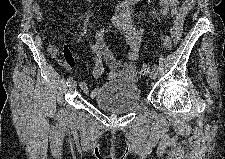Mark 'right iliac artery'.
Wrapping results in <instances>:
<instances>
[{
    "instance_id": "obj_1",
    "label": "right iliac artery",
    "mask_w": 225,
    "mask_h": 159,
    "mask_svg": "<svg viewBox=\"0 0 225 159\" xmlns=\"http://www.w3.org/2000/svg\"><path fill=\"white\" fill-rule=\"evenodd\" d=\"M72 81H73V78H72V77H68V78H67L66 85H67V86H70L71 83H72Z\"/></svg>"
}]
</instances>
